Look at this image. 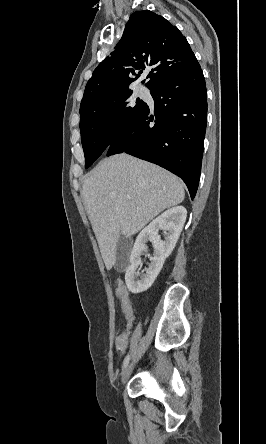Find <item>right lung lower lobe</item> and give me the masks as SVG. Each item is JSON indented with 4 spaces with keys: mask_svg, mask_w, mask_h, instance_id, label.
<instances>
[{
    "mask_svg": "<svg viewBox=\"0 0 266 444\" xmlns=\"http://www.w3.org/2000/svg\"><path fill=\"white\" fill-rule=\"evenodd\" d=\"M149 106L123 129L107 148V155L126 152L179 176L194 199L200 179L207 124V94L202 69L189 72L150 91Z\"/></svg>",
    "mask_w": 266,
    "mask_h": 444,
    "instance_id": "1",
    "label": "right lung lower lobe"
}]
</instances>
